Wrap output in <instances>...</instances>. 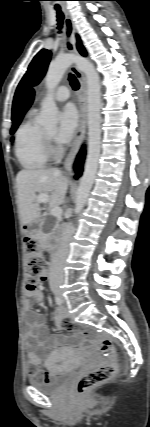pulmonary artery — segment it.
Returning a JSON list of instances; mask_svg holds the SVG:
<instances>
[{
	"mask_svg": "<svg viewBox=\"0 0 150 427\" xmlns=\"http://www.w3.org/2000/svg\"><path fill=\"white\" fill-rule=\"evenodd\" d=\"M69 96H70V92H69L68 87L60 86L54 92L53 98L56 101H65L69 98Z\"/></svg>",
	"mask_w": 150,
	"mask_h": 427,
	"instance_id": "obj_1",
	"label": "pulmonary artery"
}]
</instances>
